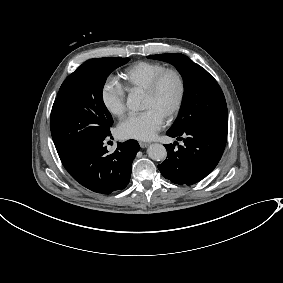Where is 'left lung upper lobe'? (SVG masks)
<instances>
[{
	"label": "left lung upper lobe",
	"instance_id": "obj_1",
	"mask_svg": "<svg viewBox=\"0 0 283 283\" xmlns=\"http://www.w3.org/2000/svg\"><path fill=\"white\" fill-rule=\"evenodd\" d=\"M173 64L182 75L185 93L179 115L169 132L201 127L228 126L224 94L216 80L183 54L150 55Z\"/></svg>",
	"mask_w": 283,
	"mask_h": 283
}]
</instances>
